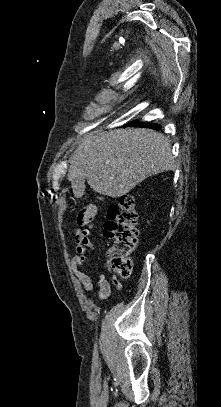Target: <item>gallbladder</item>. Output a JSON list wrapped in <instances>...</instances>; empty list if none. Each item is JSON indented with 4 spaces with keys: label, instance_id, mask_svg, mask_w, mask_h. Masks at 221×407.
Here are the masks:
<instances>
[{
    "label": "gallbladder",
    "instance_id": "1",
    "mask_svg": "<svg viewBox=\"0 0 221 407\" xmlns=\"http://www.w3.org/2000/svg\"><path fill=\"white\" fill-rule=\"evenodd\" d=\"M84 183H85L84 177L76 178L75 180H73L72 188L75 195L81 194L84 191L85 188Z\"/></svg>",
    "mask_w": 221,
    "mask_h": 407
}]
</instances>
